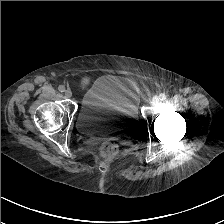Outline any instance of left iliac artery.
<instances>
[{
  "label": "left iliac artery",
  "mask_w": 224,
  "mask_h": 224,
  "mask_svg": "<svg viewBox=\"0 0 224 224\" xmlns=\"http://www.w3.org/2000/svg\"><path fill=\"white\" fill-rule=\"evenodd\" d=\"M159 99H160L161 101H164V100L166 99V95L163 94V93H161V94L159 95Z\"/></svg>",
  "instance_id": "1"
}]
</instances>
